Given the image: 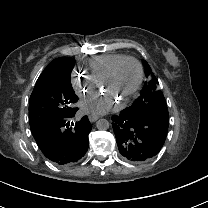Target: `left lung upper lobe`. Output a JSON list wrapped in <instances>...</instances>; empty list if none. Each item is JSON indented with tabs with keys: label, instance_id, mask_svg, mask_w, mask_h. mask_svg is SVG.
I'll return each mask as SVG.
<instances>
[{
	"label": "left lung upper lobe",
	"instance_id": "1",
	"mask_svg": "<svg viewBox=\"0 0 208 208\" xmlns=\"http://www.w3.org/2000/svg\"><path fill=\"white\" fill-rule=\"evenodd\" d=\"M147 81L139 97L134 103L124 109L132 114L141 116H150L157 120L169 124V114L163 93L158 89V80L152 73V70L146 61H143Z\"/></svg>",
	"mask_w": 208,
	"mask_h": 208
}]
</instances>
